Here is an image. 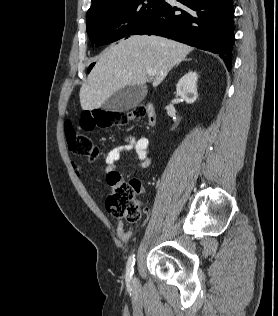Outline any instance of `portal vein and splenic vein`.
<instances>
[{
	"mask_svg": "<svg viewBox=\"0 0 278 316\" xmlns=\"http://www.w3.org/2000/svg\"><path fill=\"white\" fill-rule=\"evenodd\" d=\"M147 74H148L149 76H155V75H156V71L153 70V69H151V70H148V71H147Z\"/></svg>",
	"mask_w": 278,
	"mask_h": 316,
	"instance_id": "obj_1",
	"label": "portal vein and splenic vein"
}]
</instances>
